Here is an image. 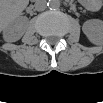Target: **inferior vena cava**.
Segmentation results:
<instances>
[{
    "instance_id": "602c4592",
    "label": "inferior vena cava",
    "mask_w": 103,
    "mask_h": 103,
    "mask_svg": "<svg viewBox=\"0 0 103 103\" xmlns=\"http://www.w3.org/2000/svg\"><path fill=\"white\" fill-rule=\"evenodd\" d=\"M47 8L45 0H37L35 2V9L37 11H44Z\"/></svg>"
}]
</instances>
